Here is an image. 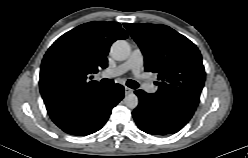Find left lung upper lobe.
Returning <instances> with one entry per match:
<instances>
[{"label": "left lung upper lobe", "instance_id": "obj_1", "mask_svg": "<svg viewBox=\"0 0 248 158\" xmlns=\"http://www.w3.org/2000/svg\"><path fill=\"white\" fill-rule=\"evenodd\" d=\"M124 26L145 56L146 71L158 74L159 88L153 95L166 104L195 111L205 82L202 57L196 45L165 25L125 23Z\"/></svg>", "mask_w": 248, "mask_h": 158}]
</instances>
